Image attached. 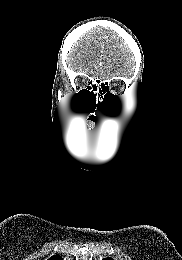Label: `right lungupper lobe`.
<instances>
[{"mask_svg":"<svg viewBox=\"0 0 182 260\" xmlns=\"http://www.w3.org/2000/svg\"><path fill=\"white\" fill-rule=\"evenodd\" d=\"M48 260H62L61 256L59 255H53L51 258H49Z\"/></svg>","mask_w":182,"mask_h":260,"instance_id":"cb5924a9","label":"right lung upper lobe"}]
</instances>
